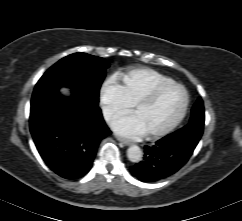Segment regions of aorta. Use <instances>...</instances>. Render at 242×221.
<instances>
[{
  "instance_id": "1",
  "label": "aorta",
  "mask_w": 242,
  "mask_h": 221,
  "mask_svg": "<svg viewBox=\"0 0 242 221\" xmlns=\"http://www.w3.org/2000/svg\"><path fill=\"white\" fill-rule=\"evenodd\" d=\"M127 157L131 162L138 163L143 157L142 150L140 147L133 145L127 150Z\"/></svg>"
}]
</instances>
